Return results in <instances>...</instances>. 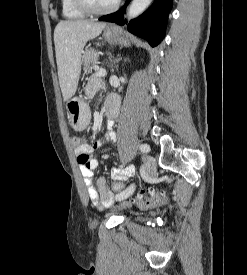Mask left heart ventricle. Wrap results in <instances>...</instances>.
<instances>
[{
    "instance_id": "b2bd125f",
    "label": "left heart ventricle",
    "mask_w": 247,
    "mask_h": 275,
    "mask_svg": "<svg viewBox=\"0 0 247 275\" xmlns=\"http://www.w3.org/2000/svg\"><path fill=\"white\" fill-rule=\"evenodd\" d=\"M87 3L96 9L108 8L112 6L116 0H86Z\"/></svg>"
}]
</instances>
